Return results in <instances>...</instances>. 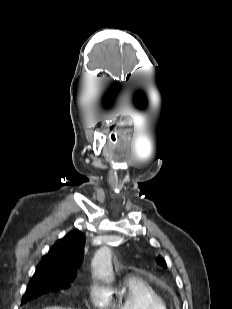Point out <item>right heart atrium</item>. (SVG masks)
Masks as SVG:
<instances>
[{"mask_svg":"<svg viewBox=\"0 0 232 309\" xmlns=\"http://www.w3.org/2000/svg\"><path fill=\"white\" fill-rule=\"evenodd\" d=\"M90 298L95 305L101 308L105 307L108 299L106 290L96 282L90 285Z\"/></svg>","mask_w":232,"mask_h":309,"instance_id":"1","label":"right heart atrium"}]
</instances>
